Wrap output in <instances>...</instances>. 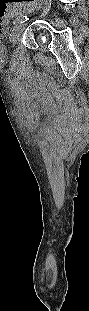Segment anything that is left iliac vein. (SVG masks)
Returning a JSON list of instances; mask_svg holds the SVG:
<instances>
[{"instance_id": "obj_1", "label": "left iliac vein", "mask_w": 89, "mask_h": 311, "mask_svg": "<svg viewBox=\"0 0 89 311\" xmlns=\"http://www.w3.org/2000/svg\"><path fill=\"white\" fill-rule=\"evenodd\" d=\"M23 31L22 25H18L16 28H14L10 35V43L14 46L16 42L18 41L21 33Z\"/></svg>"}]
</instances>
